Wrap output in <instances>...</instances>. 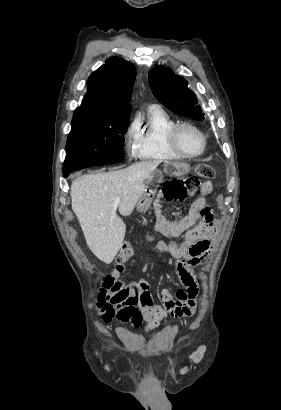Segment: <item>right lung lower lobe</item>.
<instances>
[{"mask_svg":"<svg viewBox=\"0 0 281 410\" xmlns=\"http://www.w3.org/2000/svg\"><path fill=\"white\" fill-rule=\"evenodd\" d=\"M69 173H70V172H64V173H63V176H64V177H67V176L69 175Z\"/></svg>","mask_w":281,"mask_h":410,"instance_id":"1","label":"right lung lower lobe"}]
</instances>
